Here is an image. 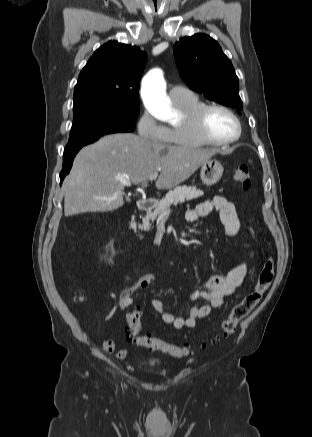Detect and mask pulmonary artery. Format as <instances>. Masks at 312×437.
Wrapping results in <instances>:
<instances>
[{
    "label": "pulmonary artery",
    "mask_w": 312,
    "mask_h": 437,
    "mask_svg": "<svg viewBox=\"0 0 312 437\" xmlns=\"http://www.w3.org/2000/svg\"><path fill=\"white\" fill-rule=\"evenodd\" d=\"M169 96L173 102H179L191 96V92L184 87L174 86L169 90Z\"/></svg>",
    "instance_id": "1"
}]
</instances>
